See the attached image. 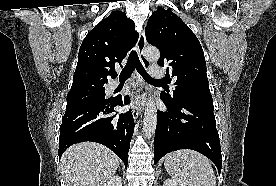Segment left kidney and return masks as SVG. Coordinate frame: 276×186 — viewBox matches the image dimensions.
I'll return each mask as SVG.
<instances>
[{"mask_svg": "<svg viewBox=\"0 0 276 186\" xmlns=\"http://www.w3.org/2000/svg\"><path fill=\"white\" fill-rule=\"evenodd\" d=\"M163 186H186V184L175 179H166L163 183Z\"/></svg>", "mask_w": 276, "mask_h": 186, "instance_id": "obj_1", "label": "left kidney"}]
</instances>
